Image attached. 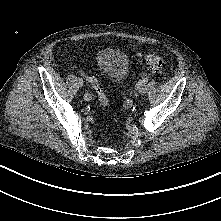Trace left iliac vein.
<instances>
[{"label":"left iliac vein","mask_w":221,"mask_h":221,"mask_svg":"<svg viewBox=\"0 0 221 221\" xmlns=\"http://www.w3.org/2000/svg\"><path fill=\"white\" fill-rule=\"evenodd\" d=\"M147 91V86L146 85H142L139 87V93L140 94H145Z\"/></svg>","instance_id":"left-iliac-vein-1"}]
</instances>
